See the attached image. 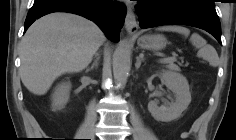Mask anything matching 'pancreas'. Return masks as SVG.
I'll return each mask as SVG.
<instances>
[{
	"label": "pancreas",
	"mask_w": 236,
	"mask_h": 140,
	"mask_svg": "<svg viewBox=\"0 0 236 140\" xmlns=\"http://www.w3.org/2000/svg\"><path fill=\"white\" fill-rule=\"evenodd\" d=\"M163 63L167 64V68L170 70L180 71L179 66L174 64L173 62H163Z\"/></svg>",
	"instance_id": "cf45deb5"
}]
</instances>
